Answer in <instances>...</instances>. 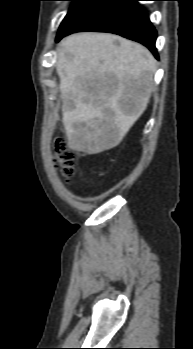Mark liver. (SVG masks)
Returning <instances> with one entry per match:
<instances>
[{
	"label": "liver",
	"mask_w": 193,
	"mask_h": 349,
	"mask_svg": "<svg viewBox=\"0 0 193 349\" xmlns=\"http://www.w3.org/2000/svg\"><path fill=\"white\" fill-rule=\"evenodd\" d=\"M56 69L68 145L98 154L119 145L145 111L156 60L139 43L108 33L85 32L61 41ZM121 101L132 102L133 110L125 111Z\"/></svg>",
	"instance_id": "liver-1"
}]
</instances>
